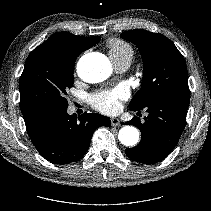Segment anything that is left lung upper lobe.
<instances>
[{
  "instance_id": "obj_1",
  "label": "left lung upper lobe",
  "mask_w": 211,
  "mask_h": 211,
  "mask_svg": "<svg viewBox=\"0 0 211 211\" xmlns=\"http://www.w3.org/2000/svg\"><path fill=\"white\" fill-rule=\"evenodd\" d=\"M121 37L133 42L144 62L142 87L129 108L143 109L156 98L171 92H189L183 56L164 35L146 30H129Z\"/></svg>"
}]
</instances>
